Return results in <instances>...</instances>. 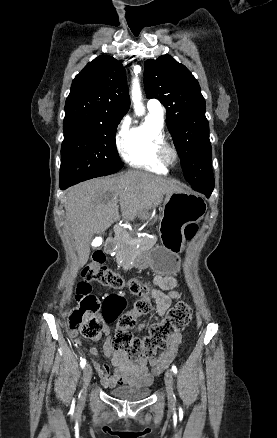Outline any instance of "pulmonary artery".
<instances>
[{"label": "pulmonary artery", "instance_id": "obj_1", "mask_svg": "<svg viewBox=\"0 0 277 438\" xmlns=\"http://www.w3.org/2000/svg\"><path fill=\"white\" fill-rule=\"evenodd\" d=\"M147 110L149 111L150 114H152L153 116H155L157 118L163 119L165 116V109L160 104H154V103L148 102L147 103Z\"/></svg>", "mask_w": 277, "mask_h": 438}]
</instances>
